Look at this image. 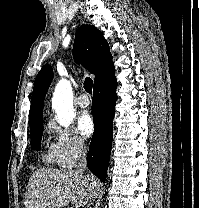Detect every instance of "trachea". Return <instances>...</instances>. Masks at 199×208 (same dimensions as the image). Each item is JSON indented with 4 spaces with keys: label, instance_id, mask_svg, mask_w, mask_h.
I'll return each instance as SVG.
<instances>
[{
    "label": "trachea",
    "instance_id": "obj_1",
    "mask_svg": "<svg viewBox=\"0 0 199 208\" xmlns=\"http://www.w3.org/2000/svg\"><path fill=\"white\" fill-rule=\"evenodd\" d=\"M92 87H93V81L89 77H86L85 81H84L85 91L88 92L89 94H91L92 93Z\"/></svg>",
    "mask_w": 199,
    "mask_h": 208
}]
</instances>
